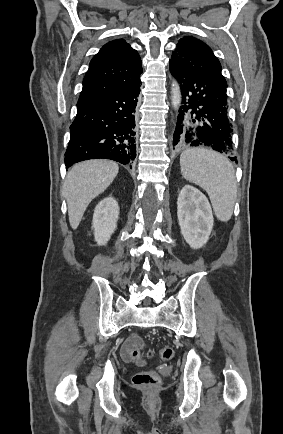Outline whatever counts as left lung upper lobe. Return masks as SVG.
I'll return each mask as SVG.
<instances>
[{
	"label": "left lung upper lobe",
	"instance_id": "5c2ea615",
	"mask_svg": "<svg viewBox=\"0 0 283 434\" xmlns=\"http://www.w3.org/2000/svg\"><path fill=\"white\" fill-rule=\"evenodd\" d=\"M170 60L227 87L226 80L221 74V64L212 49L195 37L181 38Z\"/></svg>",
	"mask_w": 283,
	"mask_h": 434
}]
</instances>
